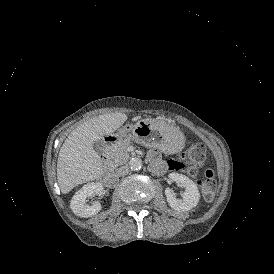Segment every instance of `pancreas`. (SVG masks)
Returning <instances> with one entry per match:
<instances>
[{"instance_id":"pancreas-1","label":"pancreas","mask_w":274,"mask_h":274,"mask_svg":"<svg viewBox=\"0 0 274 274\" xmlns=\"http://www.w3.org/2000/svg\"><path fill=\"white\" fill-rule=\"evenodd\" d=\"M128 145L129 142L124 140L116 142L113 147H106L104 152L106 160H108L113 167L125 164L129 159V154L126 151Z\"/></svg>"}]
</instances>
